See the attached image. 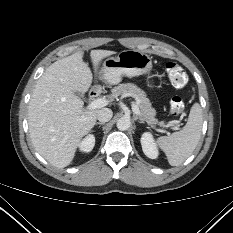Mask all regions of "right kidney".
Returning <instances> with one entry per match:
<instances>
[{
	"instance_id": "right-kidney-1",
	"label": "right kidney",
	"mask_w": 233,
	"mask_h": 233,
	"mask_svg": "<svg viewBox=\"0 0 233 233\" xmlns=\"http://www.w3.org/2000/svg\"><path fill=\"white\" fill-rule=\"evenodd\" d=\"M95 145V137L92 134L86 136L80 143L79 147L82 152H90Z\"/></svg>"
}]
</instances>
